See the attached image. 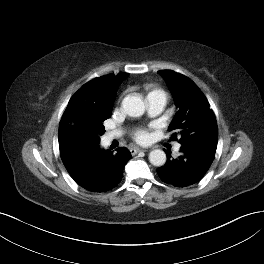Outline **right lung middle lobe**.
<instances>
[{
    "label": "right lung middle lobe",
    "mask_w": 264,
    "mask_h": 264,
    "mask_svg": "<svg viewBox=\"0 0 264 264\" xmlns=\"http://www.w3.org/2000/svg\"><path fill=\"white\" fill-rule=\"evenodd\" d=\"M111 113L112 109L70 127L63 142L69 140H100V136L105 132L103 122L111 117Z\"/></svg>",
    "instance_id": "1"
}]
</instances>
